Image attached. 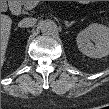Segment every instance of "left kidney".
Segmentation results:
<instances>
[{"instance_id": "obj_1", "label": "left kidney", "mask_w": 109, "mask_h": 109, "mask_svg": "<svg viewBox=\"0 0 109 109\" xmlns=\"http://www.w3.org/2000/svg\"><path fill=\"white\" fill-rule=\"evenodd\" d=\"M76 41L79 50L88 57L102 58L109 54V29L104 25H89L79 32Z\"/></svg>"}]
</instances>
